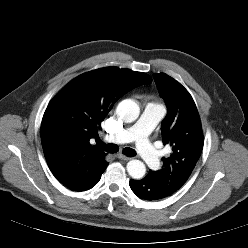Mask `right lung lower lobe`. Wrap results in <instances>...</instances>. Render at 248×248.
<instances>
[{
  "instance_id": "1",
  "label": "right lung lower lobe",
  "mask_w": 248,
  "mask_h": 248,
  "mask_svg": "<svg viewBox=\"0 0 248 248\" xmlns=\"http://www.w3.org/2000/svg\"><path fill=\"white\" fill-rule=\"evenodd\" d=\"M106 167L101 169V170H99L96 173H93V174L89 175L85 179L84 182H82L80 185H78L77 187H75V188H73L71 190L80 192V191H85V190L91 189L93 186H95L99 182V180L101 178V175L105 171Z\"/></svg>"
}]
</instances>
